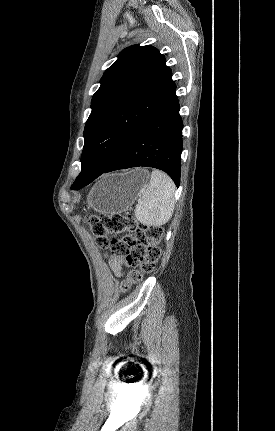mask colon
I'll use <instances>...</instances> for the list:
<instances>
[{"instance_id":"obj_1","label":"colon","mask_w":275,"mask_h":431,"mask_svg":"<svg viewBox=\"0 0 275 431\" xmlns=\"http://www.w3.org/2000/svg\"><path fill=\"white\" fill-rule=\"evenodd\" d=\"M88 225L100 248L124 260L128 269L126 286L140 282L155 269L160 257L161 226L140 224L131 214L93 215ZM109 235L117 237L109 240Z\"/></svg>"}]
</instances>
